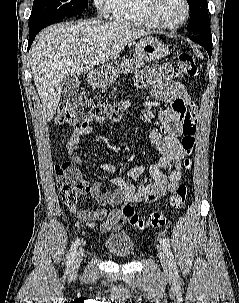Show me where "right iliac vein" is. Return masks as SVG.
Here are the masks:
<instances>
[{"label":"right iliac vein","mask_w":239,"mask_h":303,"mask_svg":"<svg viewBox=\"0 0 239 303\" xmlns=\"http://www.w3.org/2000/svg\"><path fill=\"white\" fill-rule=\"evenodd\" d=\"M82 257H83V251L80 250V251L78 252V254H77V256H76L74 262H73V265H72V269H73V270H76V269L79 268L80 263H81V261H82Z\"/></svg>","instance_id":"1"}]
</instances>
